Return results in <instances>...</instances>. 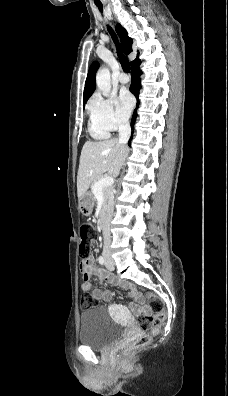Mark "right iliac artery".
Instances as JSON below:
<instances>
[{"label": "right iliac artery", "mask_w": 228, "mask_h": 396, "mask_svg": "<svg viewBox=\"0 0 228 396\" xmlns=\"http://www.w3.org/2000/svg\"><path fill=\"white\" fill-rule=\"evenodd\" d=\"M98 261H99V263H100L101 265H104V264H105V259H104L103 256H99Z\"/></svg>", "instance_id": "obj_1"}]
</instances>
